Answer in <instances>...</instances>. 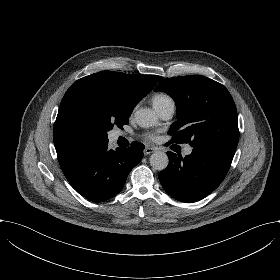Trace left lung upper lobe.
Returning a JSON list of instances; mask_svg holds the SVG:
<instances>
[{
  "label": "left lung upper lobe",
  "instance_id": "1",
  "mask_svg": "<svg viewBox=\"0 0 280 280\" xmlns=\"http://www.w3.org/2000/svg\"><path fill=\"white\" fill-rule=\"evenodd\" d=\"M155 91L167 93L176 103L177 121L168 133L173 135L172 143L236 150L237 110L222 84L201 75H188L165 78Z\"/></svg>",
  "mask_w": 280,
  "mask_h": 280
}]
</instances>
